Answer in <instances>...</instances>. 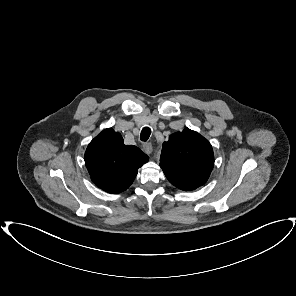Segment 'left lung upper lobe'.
<instances>
[{"instance_id": "5c2ea615", "label": "left lung upper lobe", "mask_w": 296, "mask_h": 296, "mask_svg": "<svg viewBox=\"0 0 296 296\" xmlns=\"http://www.w3.org/2000/svg\"><path fill=\"white\" fill-rule=\"evenodd\" d=\"M213 165L210 142L189 128L170 135L163 143L160 166L169 182L181 190L204 185Z\"/></svg>"}]
</instances>
